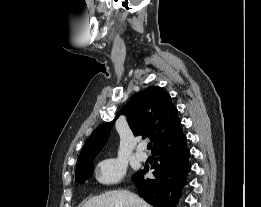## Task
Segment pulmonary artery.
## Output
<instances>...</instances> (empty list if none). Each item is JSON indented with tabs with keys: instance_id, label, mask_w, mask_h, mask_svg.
I'll use <instances>...</instances> for the list:
<instances>
[{
	"instance_id": "obj_1",
	"label": "pulmonary artery",
	"mask_w": 261,
	"mask_h": 207,
	"mask_svg": "<svg viewBox=\"0 0 261 207\" xmlns=\"http://www.w3.org/2000/svg\"><path fill=\"white\" fill-rule=\"evenodd\" d=\"M145 144H139L136 151V156L138 159L145 161L148 158V155L145 152Z\"/></svg>"
}]
</instances>
